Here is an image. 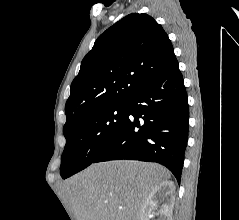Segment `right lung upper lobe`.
Here are the masks:
<instances>
[{
  "mask_svg": "<svg viewBox=\"0 0 239 220\" xmlns=\"http://www.w3.org/2000/svg\"><path fill=\"white\" fill-rule=\"evenodd\" d=\"M174 61L171 41L160 24L147 14L124 17L84 57L65 105L64 128L92 111L125 103Z\"/></svg>",
  "mask_w": 239,
  "mask_h": 220,
  "instance_id": "obj_1",
  "label": "right lung upper lobe"
}]
</instances>
